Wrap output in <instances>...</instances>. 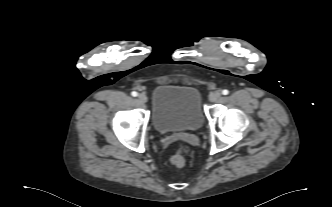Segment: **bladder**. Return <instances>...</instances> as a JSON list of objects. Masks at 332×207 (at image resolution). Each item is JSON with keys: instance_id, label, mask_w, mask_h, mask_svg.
<instances>
[{"instance_id": "obj_1", "label": "bladder", "mask_w": 332, "mask_h": 207, "mask_svg": "<svg viewBox=\"0 0 332 207\" xmlns=\"http://www.w3.org/2000/svg\"><path fill=\"white\" fill-rule=\"evenodd\" d=\"M151 121L162 134L198 130L204 122L200 91L191 86H157L152 94Z\"/></svg>"}]
</instances>
